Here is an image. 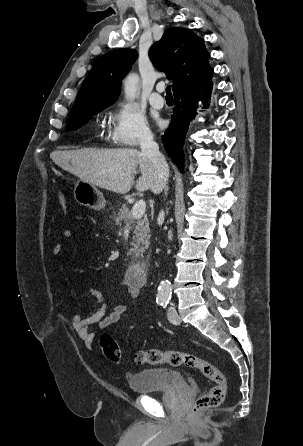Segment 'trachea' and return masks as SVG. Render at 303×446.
<instances>
[{
  "instance_id": "1",
  "label": "trachea",
  "mask_w": 303,
  "mask_h": 446,
  "mask_svg": "<svg viewBox=\"0 0 303 446\" xmlns=\"http://www.w3.org/2000/svg\"><path fill=\"white\" fill-rule=\"evenodd\" d=\"M166 97H172V93H171V85H168L166 87Z\"/></svg>"
}]
</instances>
